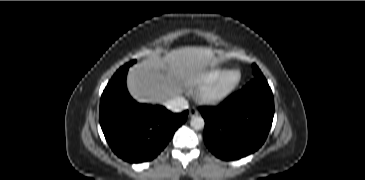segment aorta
Returning <instances> with one entry per match:
<instances>
[{
	"label": "aorta",
	"mask_w": 365,
	"mask_h": 180,
	"mask_svg": "<svg viewBox=\"0 0 365 180\" xmlns=\"http://www.w3.org/2000/svg\"><path fill=\"white\" fill-rule=\"evenodd\" d=\"M190 125L192 128H194L195 130H201L204 128V125H205V121L202 117L200 116H193L191 118V121H190Z\"/></svg>",
	"instance_id": "762f6f07"
}]
</instances>
